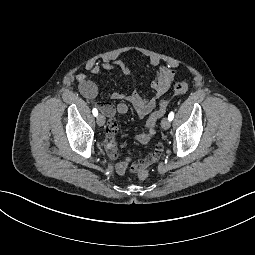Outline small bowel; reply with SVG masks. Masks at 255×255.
<instances>
[{
  "instance_id": "small-bowel-1",
  "label": "small bowel",
  "mask_w": 255,
  "mask_h": 255,
  "mask_svg": "<svg viewBox=\"0 0 255 255\" xmlns=\"http://www.w3.org/2000/svg\"><path fill=\"white\" fill-rule=\"evenodd\" d=\"M150 64L153 67H158L154 81L151 85L152 95L150 97H144L136 91H132L130 94L114 92L112 98L119 101L116 106L109 102H96L98 93L97 85L85 74L76 75L79 91L82 96L90 102H93L98 109L109 118V123L106 128L107 137L105 147L107 154L113 160L118 158V141L116 138L117 123L114 119L115 115L117 113H127L129 105H131L134 108L137 117L144 118L154 110L158 101L170 88L171 83L177 74L176 68L169 64H160L158 58H152ZM86 69L93 74H100L102 71L117 70L125 80L132 77L130 69L120 59L114 61L103 60L101 62H89L86 64ZM154 135L155 129L148 130L145 133L138 134L135 137V142L138 144H146L154 137ZM162 152V144L157 143L154 151H152L145 159L130 164L129 158H126L116 163L115 170L119 175H124L127 172L136 173L140 169L146 168L157 162L160 159Z\"/></svg>"
}]
</instances>
